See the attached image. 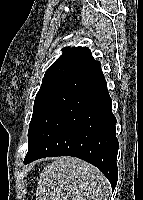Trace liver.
Segmentation results:
<instances>
[{
    "instance_id": "obj_1",
    "label": "liver",
    "mask_w": 143,
    "mask_h": 200,
    "mask_svg": "<svg viewBox=\"0 0 143 200\" xmlns=\"http://www.w3.org/2000/svg\"><path fill=\"white\" fill-rule=\"evenodd\" d=\"M110 184L93 165L70 156L55 158L38 180L36 200H107Z\"/></svg>"
}]
</instances>
